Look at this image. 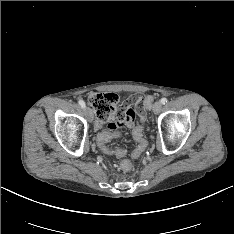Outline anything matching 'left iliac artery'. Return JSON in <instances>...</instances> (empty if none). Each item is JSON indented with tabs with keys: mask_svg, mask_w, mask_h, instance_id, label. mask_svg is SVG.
I'll list each match as a JSON object with an SVG mask.
<instances>
[{
	"mask_svg": "<svg viewBox=\"0 0 234 234\" xmlns=\"http://www.w3.org/2000/svg\"><path fill=\"white\" fill-rule=\"evenodd\" d=\"M161 103H162V104L167 103V98H162V99H161Z\"/></svg>",
	"mask_w": 234,
	"mask_h": 234,
	"instance_id": "44dca946",
	"label": "left iliac artery"
}]
</instances>
